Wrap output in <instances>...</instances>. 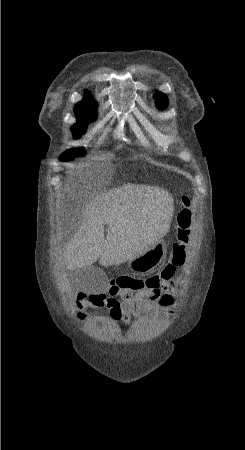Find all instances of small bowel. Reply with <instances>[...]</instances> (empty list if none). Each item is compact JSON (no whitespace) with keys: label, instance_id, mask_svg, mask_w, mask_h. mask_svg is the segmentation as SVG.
<instances>
[{"label":"small bowel","instance_id":"c3829d8e","mask_svg":"<svg viewBox=\"0 0 245 450\" xmlns=\"http://www.w3.org/2000/svg\"><path fill=\"white\" fill-rule=\"evenodd\" d=\"M165 267L160 273L145 280V286L136 292L111 288L108 294L92 295L90 302L97 307H106L116 325L130 323L139 315L151 313L156 318L173 316L175 302L173 292L181 268L167 273Z\"/></svg>","mask_w":245,"mask_h":450}]
</instances>
